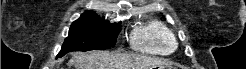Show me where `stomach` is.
I'll use <instances>...</instances> for the list:
<instances>
[{
    "label": "stomach",
    "instance_id": "0dacf381",
    "mask_svg": "<svg viewBox=\"0 0 246 69\" xmlns=\"http://www.w3.org/2000/svg\"><path fill=\"white\" fill-rule=\"evenodd\" d=\"M149 69H175V68L169 65H157V66L150 67Z\"/></svg>",
    "mask_w": 246,
    "mask_h": 69
}]
</instances>
